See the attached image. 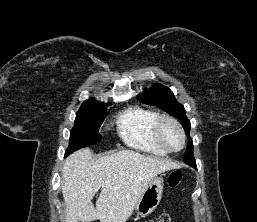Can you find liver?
<instances>
[{"instance_id": "liver-1", "label": "liver", "mask_w": 257, "mask_h": 222, "mask_svg": "<svg viewBox=\"0 0 257 222\" xmlns=\"http://www.w3.org/2000/svg\"><path fill=\"white\" fill-rule=\"evenodd\" d=\"M178 167L133 150L98 159L89 148L78 150L67 157L62 170L66 222H126L150 181ZM100 188L94 207L92 199Z\"/></svg>"}]
</instances>
